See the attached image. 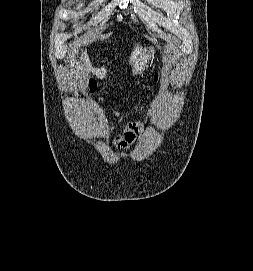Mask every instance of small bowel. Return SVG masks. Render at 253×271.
Returning <instances> with one entry per match:
<instances>
[{
    "mask_svg": "<svg viewBox=\"0 0 253 271\" xmlns=\"http://www.w3.org/2000/svg\"><path fill=\"white\" fill-rule=\"evenodd\" d=\"M148 133L147 129L137 123L127 125L122 134L115 140L114 147L117 150H129L141 136Z\"/></svg>",
    "mask_w": 253,
    "mask_h": 271,
    "instance_id": "obj_1",
    "label": "small bowel"
}]
</instances>
